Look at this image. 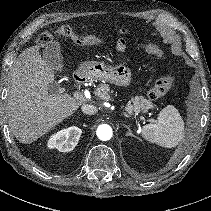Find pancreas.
I'll return each instance as SVG.
<instances>
[{"label": "pancreas", "mask_w": 211, "mask_h": 211, "mask_svg": "<svg viewBox=\"0 0 211 211\" xmlns=\"http://www.w3.org/2000/svg\"><path fill=\"white\" fill-rule=\"evenodd\" d=\"M112 93L113 91L110 90L109 85L105 83L99 84L95 91V95L103 100H111ZM150 108H153L151 101L146 100L143 96H136L127 103L125 110L128 114L133 115V113L138 114L141 111L146 112Z\"/></svg>", "instance_id": "pancreas-1"}]
</instances>
